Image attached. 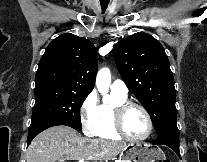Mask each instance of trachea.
Segmentation results:
<instances>
[{
    "label": "trachea",
    "mask_w": 207,
    "mask_h": 162,
    "mask_svg": "<svg viewBox=\"0 0 207 162\" xmlns=\"http://www.w3.org/2000/svg\"><path fill=\"white\" fill-rule=\"evenodd\" d=\"M109 1L110 0H100L102 12H105V10L107 9Z\"/></svg>",
    "instance_id": "obj_1"
}]
</instances>
